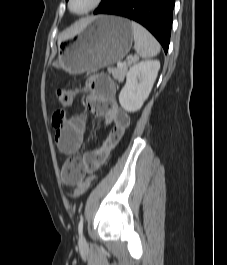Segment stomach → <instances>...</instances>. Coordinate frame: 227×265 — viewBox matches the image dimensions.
Segmentation results:
<instances>
[{
    "mask_svg": "<svg viewBox=\"0 0 227 265\" xmlns=\"http://www.w3.org/2000/svg\"><path fill=\"white\" fill-rule=\"evenodd\" d=\"M133 29L122 17L100 15L76 38L58 45V58L51 65L69 74L100 69L123 59L130 51Z\"/></svg>",
    "mask_w": 227,
    "mask_h": 265,
    "instance_id": "0dacf381",
    "label": "stomach"
}]
</instances>
